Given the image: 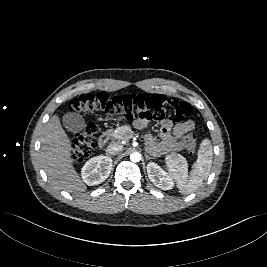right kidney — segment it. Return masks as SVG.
I'll list each match as a JSON object with an SVG mask.
<instances>
[{"mask_svg":"<svg viewBox=\"0 0 267 267\" xmlns=\"http://www.w3.org/2000/svg\"><path fill=\"white\" fill-rule=\"evenodd\" d=\"M112 159L109 156H96L89 159L81 170L83 181L94 186L104 182L110 175Z\"/></svg>","mask_w":267,"mask_h":267,"instance_id":"obj_1","label":"right kidney"}]
</instances>
